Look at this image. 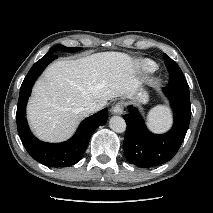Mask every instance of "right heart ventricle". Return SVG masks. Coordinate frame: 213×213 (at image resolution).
<instances>
[{
    "instance_id": "obj_1",
    "label": "right heart ventricle",
    "mask_w": 213,
    "mask_h": 213,
    "mask_svg": "<svg viewBox=\"0 0 213 213\" xmlns=\"http://www.w3.org/2000/svg\"><path fill=\"white\" fill-rule=\"evenodd\" d=\"M142 68L146 72H153L156 69V64L151 60H144L142 62Z\"/></svg>"
}]
</instances>
